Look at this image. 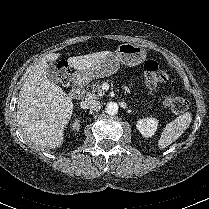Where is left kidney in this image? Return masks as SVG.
Returning <instances> with one entry per match:
<instances>
[{
  "label": "left kidney",
  "instance_id": "1",
  "mask_svg": "<svg viewBox=\"0 0 209 209\" xmlns=\"http://www.w3.org/2000/svg\"><path fill=\"white\" fill-rule=\"evenodd\" d=\"M158 120L156 118H143L137 121L136 127L143 137H151L157 130Z\"/></svg>",
  "mask_w": 209,
  "mask_h": 209
}]
</instances>
